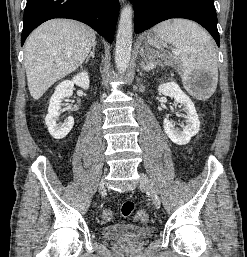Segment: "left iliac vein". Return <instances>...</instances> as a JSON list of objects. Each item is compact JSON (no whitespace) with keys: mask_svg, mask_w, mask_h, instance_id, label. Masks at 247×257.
I'll use <instances>...</instances> for the list:
<instances>
[{"mask_svg":"<svg viewBox=\"0 0 247 257\" xmlns=\"http://www.w3.org/2000/svg\"><path fill=\"white\" fill-rule=\"evenodd\" d=\"M139 184L142 188L146 189L149 192L153 205L157 209H159L160 208V198H159L152 182L150 181V179L145 174L141 173L140 179H139Z\"/></svg>","mask_w":247,"mask_h":257,"instance_id":"4c4485c4","label":"left iliac vein"}]
</instances>
